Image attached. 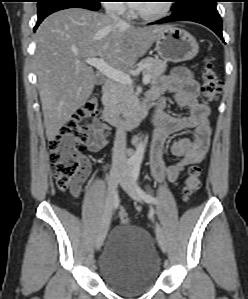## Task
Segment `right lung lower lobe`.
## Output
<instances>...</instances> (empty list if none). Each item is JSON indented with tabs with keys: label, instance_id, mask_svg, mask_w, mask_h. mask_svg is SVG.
Wrapping results in <instances>:
<instances>
[{
	"label": "right lung lower lobe",
	"instance_id": "obj_1",
	"mask_svg": "<svg viewBox=\"0 0 248 299\" xmlns=\"http://www.w3.org/2000/svg\"><path fill=\"white\" fill-rule=\"evenodd\" d=\"M85 8L93 11H97L100 8L99 5H91L86 2H82L79 0H55L51 3H48L40 8H38V21L36 23V26L34 28V31L38 27V25L42 22V20L50 15L53 12L62 10V9H67V8Z\"/></svg>",
	"mask_w": 248,
	"mask_h": 299
}]
</instances>
